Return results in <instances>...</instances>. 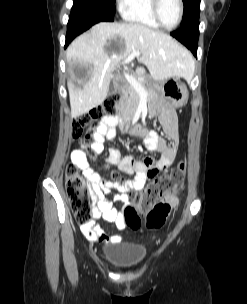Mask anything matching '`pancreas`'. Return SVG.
I'll return each mask as SVG.
<instances>
[{"instance_id":"cf45deb5","label":"pancreas","mask_w":247,"mask_h":304,"mask_svg":"<svg viewBox=\"0 0 247 304\" xmlns=\"http://www.w3.org/2000/svg\"><path fill=\"white\" fill-rule=\"evenodd\" d=\"M144 89L148 92V100L155 99L158 97L157 86L155 84H150L145 80L139 81ZM140 97L137 91L129 85L122 93L119 104H122L124 116H132L135 114Z\"/></svg>"}]
</instances>
